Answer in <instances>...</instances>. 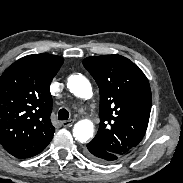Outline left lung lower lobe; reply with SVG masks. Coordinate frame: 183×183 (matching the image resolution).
I'll return each instance as SVG.
<instances>
[{"instance_id": "obj_1", "label": "left lung lower lobe", "mask_w": 183, "mask_h": 183, "mask_svg": "<svg viewBox=\"0 0 183 183\" xmlns=\"http://www.w3.org/2000/svg\"><path fill=\"white\" fill-rule=\"evenodd\" d=\"M86 154L92 160L100 162V163L111 162L120 157L114 153H111V152L97 146L96 144H94L92 142L87 144Z\"/></svg>"}]
</instances>
